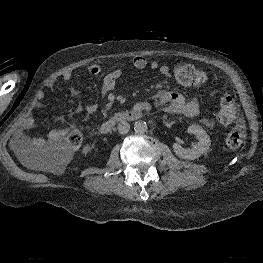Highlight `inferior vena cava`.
Returning a JSON list of instances; mask_svg holds the SVG:
<instances>
[{
  "label": "inferior vena cava",
  "mask_w": 263,
  "mask_h": 263,
  "mask_svg": "<svg viewBox=\"0 0 263 263\" xmlns=\"http://www.w3.org/2000/svg\"><path fill=\"white\" fill-rule=\"evenodd\" d=\"M129 130H130V124L129 123L123 121V122H120L118 124V132L120 134H127L129 132Z\"/></svg>",
  "instance_id": "inferior-vena-cava-1"
}]
</instances>
